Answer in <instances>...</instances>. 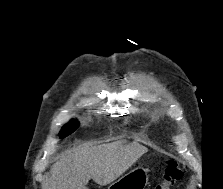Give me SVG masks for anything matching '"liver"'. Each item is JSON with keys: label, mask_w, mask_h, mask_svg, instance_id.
Returning <instances> with one entry per match:
<instances>
[{"label": "liver", "mask_w": 223, "mask_h": 189, "mask_svg": "<svg viewBox=\"0 0 223 189\" xmlns=\"http://www.w3.org/2000/svg\"><path fill=\"white\" fill-rule=\"evenodd\" d=\"M147 148L121 142L85 145L62 155L50 170L43 189H88L90 179L105 186L120 177Z\"/></svg>", "instance_id": "obj_1"}]
</instances>
